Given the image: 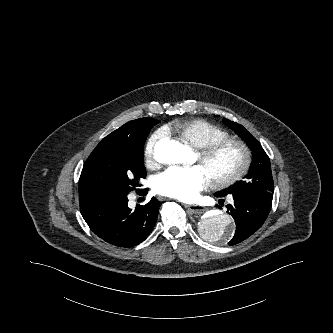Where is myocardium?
I'll return each mask as SVG.
<instances>
[{"instance_id": "myocardium-1", "label": "myocardium", "mask_w": 333, "mask_h": 333, "mask_svg": "<svg viewBox=\"0 0 333 333\" xmlns=\"http://www.w3.org/2000/svg\"><path fill=\"white\" fill-rule=\"evenodd\" d=\"M228 147H234L239 151V162L235 167L226 173L215 174L210 177L212 182L217 186H228L234 184L248 172L252 162L251 150L242 140L229 137L211 142L198 148L199 160L208 161L218 152Z\"/></svg>"}]
</instances>
